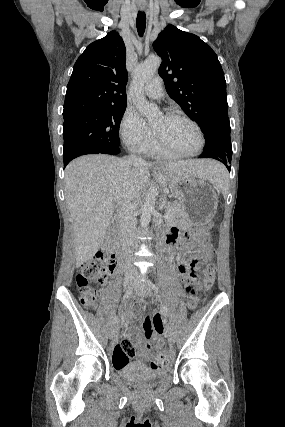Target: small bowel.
Instances as JSON below:
<instances>
[{
    "instance_id": "c3829d8e",
    "label": "small bowel",
    "mask_w": 285,
    "mask_h": 427,
    "mask_svg": "<svg viewBox=\"0 0 285 427\" xmlns=\"http://www.w3.org/2000/svg\"><path fill=\"white\" fill-rule=\"evenodd\" d=\"M168 242L180 246V239L177 237V229H173L168 233ZM195 301H188L187 306L189 308H194L196 305ZM143 306V300L139 301L136 304L138 310H141ZM136 314L128 309H125L122 314L123 322L129 327V331L127 332V336L129 338H133L135 342L136 352L131 356H126L123 352H121L117 345H114L113 351V364L116 368H122L125 366L130 358H134L139 362L149 361L152 357V351L154 346L152 344L153 340H157L161 343L159 339L160 331V323L161 317L156 315L151 319H146L143 322V331H140L138 327L134 324V319Z\"/></svg>"
}]
</instances>
